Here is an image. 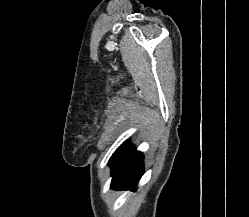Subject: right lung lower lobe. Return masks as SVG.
I'll return each instance as SVG.
<instances>
[{"instance_id":"98d812e1","label":"right lung lower lobe","mask_w":249,"mask_h":217,"mask_svg":"<svg viewBox=\"0 0 249 217\" xmlns=\"http://www.w3.org/2000/svg\"><path fill=\"white\" fill-rule=\"evenodd\" d=\"M114 189H135L143 174V154L136 151L129 142L121 145L110 159Z\"/></svg>"}]
</instances>
